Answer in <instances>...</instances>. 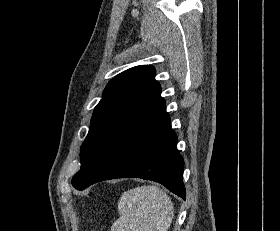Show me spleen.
<instances>
[{"instance_id":"spleen-1","label":"spleen","mask_w":280,"mask_h":231,"mask_svg":"<svg viewBox=\"0 0 280 231\" xmlns=\"http://www.w3.org/2000/svg\"><path fill=\"white\" fill-rule=\"evenodd\" d=\"M111 231H168L173 215V203L164 189L142 185L122 193Z\"/></svg>"}]
</instances>
